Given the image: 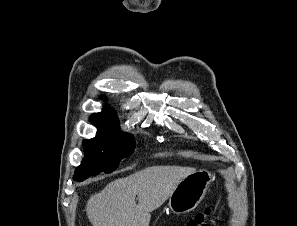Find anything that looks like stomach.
<instances>
[{
	"mask_svg": "<svg viewBox=\"0 0 297 226\" xmlns=\"http://www.w3.org/2000/svg\"><path fill=\"white\" fill-rule=\"evenodd\" d=\"M212 181L213 175L207 170H199L188 175L169 196V209L175 214L194 210L204 198Z\"/></svg>",
	"mask_w": 297,
	"mask_h": 226,
	"instance_id": "stomach-1",
	"label": "stomach"
}]
</instances>
